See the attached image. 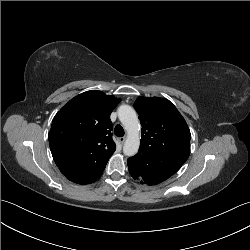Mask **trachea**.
Here are the masks:
<instances>
[{
    "label": "trachea",
    "mask_w": 250,
    "mask_h": 250,
    "mask_svg": "<svg viewBox=\"0 0 250 250\" xmlns=\"http://www.w3.org/2000/svg\"><path fill=\"white\" fill-rule=\"evenodd\" d=\"M114 133L117 137L124 136V129L121 125H116L114 129Z\"/></svg>",
    "instance_id": "3493384b"
}]
</instances>
